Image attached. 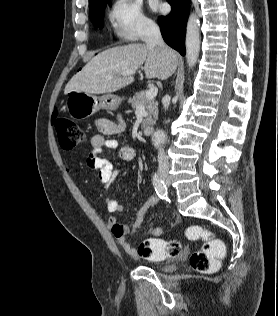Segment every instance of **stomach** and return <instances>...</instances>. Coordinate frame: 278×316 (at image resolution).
<instances>
[{
  "mask_svg": "<svg viewBox=\"0 0 278 316\" xmlns=\"http://www.w3.org/2000/svg\"><path fill=\"white\" fill-rule=\"evenodd\" d=\"M122 99L115 95L95 96L82 92H71L67 95L66 109L73 119H85L100 109L114 110Z\"/></svg>",
  "mask_w": 278,
  "mask_h": 316,
  "instance_id": "stomach-1",
  "label": "stomach"
}]
</instances>
